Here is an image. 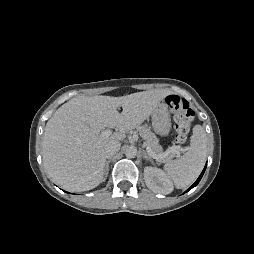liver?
I'll return each instance as SVG.
<instances>
[{"instance_id":"1","label":"liver","mask_w":254,"mask_h":254,"mask_svg":"<svg viewBox=\"0 0 254 254\" xmlns=\"http://www.w3.org/2000/svg\"><path fill=\"white\" fill-rule=\"evenodd\" d=\"M170 94L155 89L121 97L77 96L63 104L48 120L43 136V163L49 176L74 192L98 186L104 180L106 145L123 140ZM108 127L118 131L103 137Z\"/></svg>"}]
</instances>
